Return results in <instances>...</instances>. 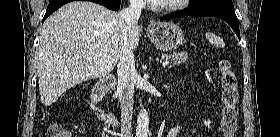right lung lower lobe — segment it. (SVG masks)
<instances>
[{"label":"right lung lower lobe","instance_id":"obj_1","mask_svg":"<svg viewBox=\"0 0 280 137\" xmlns=\"http://www.w3.org/2000/svg\"><path fill=\"white\" fill-rule=\"evenodd\" d=\"M71 1H74V0H49V5L47 7L46 14L43 18V21L48 16H50L54 11H56L58 8H60L64 4L71 2ZM87 1L99 3L103 6H105L106 8H108L110 10H115V11L120 8V3H121V0H87Z\"/></svg>","mask_w":280,"mask_h":137}]
</instances>
